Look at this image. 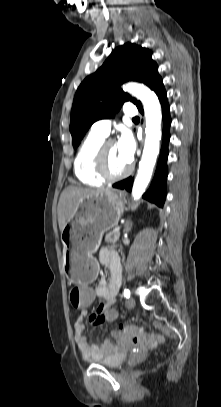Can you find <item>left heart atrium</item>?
Wrapping results in <instances>:
<instances>
[{
    "label": "left heart atrium",
    "instance_id": "obj_1",
    "mask_svg": "<svg viewBox=\"0 0 221 407\" xmlns=\"http://www.w3.org/2000/svg\"><path fill=\"white\" fill-rule=\"evenodd\" d=\"M117 146L121 155L130 162L135 152V142L132 136L128 132L123 133L117 142Z\"/></svg>",
    "mask_w": 221,
    "mask_h": 407
}]
</instances>
